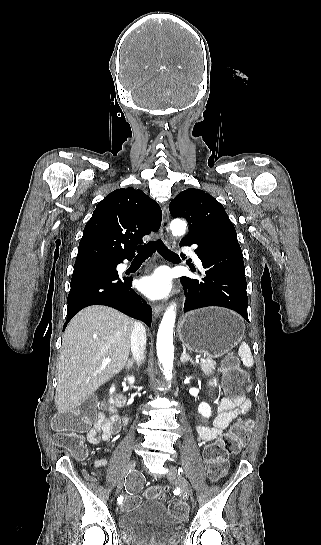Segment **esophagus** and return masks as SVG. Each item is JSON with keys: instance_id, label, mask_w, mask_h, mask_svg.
I'll return each instance as SVG.
<instances>
[{"instance_id": "esophagus-1", "label": "esophagus", "mask_w": 321, "mask_h": 545, "mask_svg": "<svg viewBox=\"0 0 321 545\" xmlns=\"http://www.w3.org/2000/svg\"><path fill=\"white\" fill-rule=\"evenodd\" d=\"M160 235L166 243L174 244V238L169 229V213L167 207L163 206V219L160 227ZM164 310V305H156L154 307V315L160 316Z\"/></svg>"}]
</instances>
